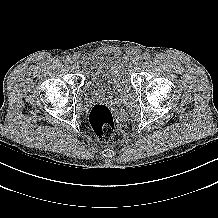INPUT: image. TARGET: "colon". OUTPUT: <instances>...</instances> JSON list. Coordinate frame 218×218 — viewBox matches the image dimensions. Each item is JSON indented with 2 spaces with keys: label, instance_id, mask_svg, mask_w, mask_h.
Listing matches in <instances>:
<instances>
[{
  "label": "colon",
  "instance_id": "obj_1",
  "mask_svg": "<svg viewBox=\"0 0 218 218\" xmlns=\"http://www.w3.org/2000/svg\"><path fill=\"white\" fill-rule=\"evenodd\" d=\"M89 122L95 137L100 142H107L114 132V115L111 109L104 104L92 107L89 113Z\"/></svg>",
  "mask_w": 218,
  "mask_h": 218
}]
</instances>
